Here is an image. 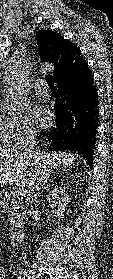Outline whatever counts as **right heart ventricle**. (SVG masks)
<instances>
[{
    "instance_id": "1",
    "label": "right heart ventricle",
    "mask_w": 113,
    "mask_h": 279,
    "mask_svg": "<svg viewBox=\"0 0 113 279\" xmlns=\"http://www.w3.org/2000/svg\"><path fill=\"white\" fill-rule=\"evenodd\" d=\"M11 142L10 117L0 110V146L10 144Z\"/></svg>"
}]
</instances>
